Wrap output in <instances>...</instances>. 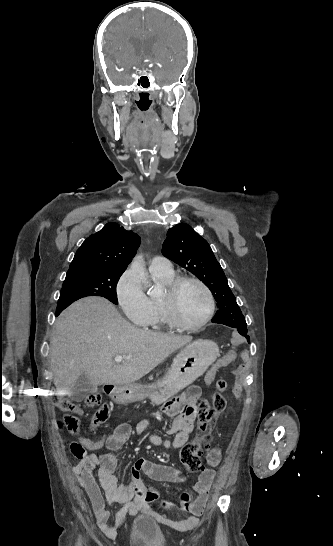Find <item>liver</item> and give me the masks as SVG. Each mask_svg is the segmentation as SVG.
I'll return each instance as SVG.
<instances>
[{
	"mask_svg": "<svg viewBox=\"0 0 333 546\" xmlns=\"http://www.w3.org/2000/svg\"><path fill=\"white\" fill-rule=\"evenodd\" d=\"M192 340L141 330L104 298L81 299L58 317L51 338L54 385L65 394L86 374L95 386L130 385ZM116 355L130 356L114 363Z\"/></svg>",
	"mask_w": 333,
	"mask_h": 546,
	"instance_id": "6515ba94",
	"label": "liver"
}]
</instances>
